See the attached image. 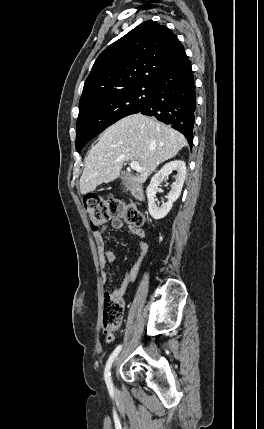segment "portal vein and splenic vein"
<instances>
[{
    "mask_svg": "<svg viewBox=\"0 0 264 429\" xmlns=\"http://www.w3.org/2000/svg\"><path fill=\"white\" fill-rule=\"evenodd\" d=\"M131 168L136 171H141L142 167L140 166L138 161H132L130 164Z\"/></svg>",
    "mask_w": 264,
    "mask_h": 429,
    "instance_id": "18ae733b",
    "label": "portal vein and splenic vein"
}]
</instances>
